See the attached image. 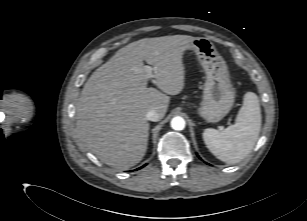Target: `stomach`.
I'll list each match as a JSON object with an SVG mask.
<instances>
[{"label": "stomach", "instance_id": "1", "mask_svg": "<svg viewBox=\"0 0 307 221\" xmlns=\"http://www.w3.org/2000/svg\"><path fill=\"white\" fill-rule=\"evenodd\" d=\"M187 49L194 51L206 74L203 100L197 113L208 122H218L229 113L235 101L226 62L207 38L194 37Z\"/></svg>", "mask_w": 307, "mask_h": 221}]
</instances>
